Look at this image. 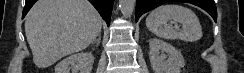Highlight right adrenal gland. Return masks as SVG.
Masks as SVG:
<instances>
[{
	"label": "right adrenal gland",
	"mask_w": 244,
	"mask_h": 73,
	"mask_svg": "<svg viewBox=\"0 0 244 73\" xmlns=\"http://www.w3.org/2000/svg\"><path fill=\"white\" fill-rule=\"evenodd\" d=\"M101 42V34L98 35V38L93 42V44L95 43L96 46H98Z\"/></svg>",
	"instance_id": "1"
}]
</instances>
